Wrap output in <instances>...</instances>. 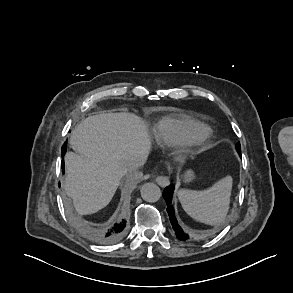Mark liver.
<instances>
[{
	"label": "liver",
	"mask_w": 293,
	"mask_h": 293,
	"mask_svg": "<svg viewBox=\"0 0 293 293\" xmlns=\"http://www.w3.org/2000/svg\"><path fill=\"white\" fill-rule=\"evenodd\" d=\"M69 143L76 153L65 156L64 188L80 215L107 206L128 171L127 163L147 156L151 147L145 123L129 113L89 116L72 131Z\"/></svg>",
	"instance_id": "obj_1"
}]
</instances>
